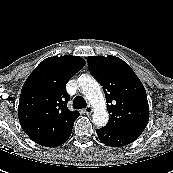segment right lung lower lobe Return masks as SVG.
Segmentation results:
<instances>
[{
    "instance_id": "98d812e1",
    "label": "right lung lower lobe",
    "mask_w": 173,
    "mask_h": 173,
    "mask_svg": "<svg viewBox=\"0 0 173 173\" xmlns=\"http://www.w3.org/2000/svg\"><path fill=\"white\" fill-rule=\"evenodd\" d=\"M73 125H74V122L72 123V125L64 129L58 136H56L55 138L51 140L43 142L40 145L46 146V147H56L65 143L71 135Z\"/></svg>"
}]
</instances>
